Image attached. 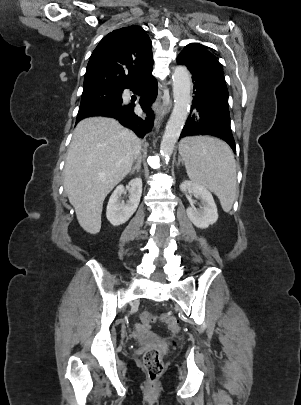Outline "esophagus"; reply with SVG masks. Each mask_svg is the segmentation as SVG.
I'll use <instances>...</instances> for the list:
<instances>
[{"label":"esophagus","instance_id":"obj_1","mask_svg":"<svg viewBox=\"0 0 301 405\" xmlns=\"http://www.w3.org/2000/svg\"><path fill=\"white\" fill-rule=\"evenodd\" d=\"M170 107H171V102L168 101V110L170 109ZM156 122H157V119H156Z\"/></svg>","mask_w":301,"mask_h":405}]
</instances>
